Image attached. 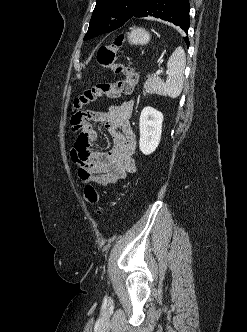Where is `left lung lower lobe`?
I'll return each mask as SVG.
<instances>
[{"label": "left lung lower lobe", "instance_id": "0a47b994", "mask_svg": "<svg viewBox=\"0 0 247 332\" xmlns=\"http://www.w3.org/2000/svg\"><path fill=\"white\" fill-rule=\"evenodd\" d=\"M189 0H146L133 17L153 16L180 26L186 33L190 26ZM184 41L189 46L188 37Z\"/></svg>", "mask_w": 247, "mask_h": 332}]
</instances>
